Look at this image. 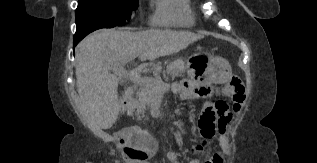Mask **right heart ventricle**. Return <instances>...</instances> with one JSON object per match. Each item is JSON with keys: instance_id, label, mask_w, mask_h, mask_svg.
<instances>
[{"instance_id": "1", "label": "right heart ventricle", "mask_w": 317, "mask_h": 163, "mask_svg": "<svg viewBox=\"0 0 317 163\" xmlns=\"http://www.w3.org/2000/svg\"><path fill=\"white\" fill-rule=\"evenodd\" d=\"M151 24L160 27H189L194 23L190 0H152Z\"/></svg>"}]
</instances>
